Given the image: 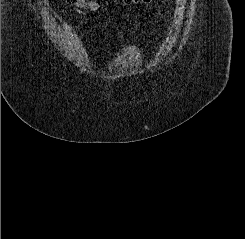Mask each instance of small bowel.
<instances>
[{"mask_svg": "<svg viewBox=\"0 0 245 239\" xmlns=\"http://www.w3.org/2000/svg\"><path fill=\"white\" fill-rule=\"evenodd\" d=\"M72 4L78 13H81L82 9L96 11L103 8L101 3L97 0H74Z\"/></svg>", "mask_w": 245, "mask_h": 239, "instance_id": "c3829d8e", "label": "small bowel"}]
</instances>
